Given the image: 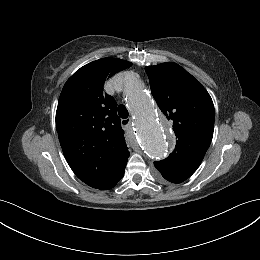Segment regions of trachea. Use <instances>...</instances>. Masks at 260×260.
<instances>
[{
  "mask_svg": "<svg viewBox=\"0 0 260 260\" xmlns=\"http://www.w3.org/2000/svg\"><path fill=\"white\" fill-rule=\"evenodd\" d=\"M118 114L121 118H124V119L128 118V116H129L128 110L122 104L118 106Z\"/></svg>",
  "mask_w": 260,
  "mask_h": 260,
  "instance_id": "3493384b",
  "label": "trachea"
}]
</instances>
